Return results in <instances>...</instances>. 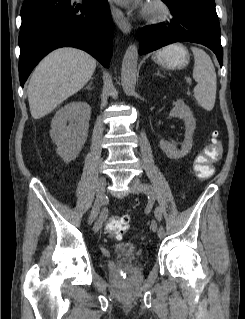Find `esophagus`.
Wrapping results in <instances>:
<instances>
[{
	"instance_id": "obj_1",
	"label": "esophagus",
	"mask_w": 245,
	"mask_h": 319,
	"mask_svg": "<svg viewBox=\"0 0 245 319\" xmlns=\"http://www.w3.org/2000/svg\"><path fill=\"white\" fill-rule=\"evenodd\" d=\"M111 14L116 25L123 31L125 34H129L131 31V24L128 18L124 13L115 5L111 4Z\"/></svg>"
}]
</instances>
